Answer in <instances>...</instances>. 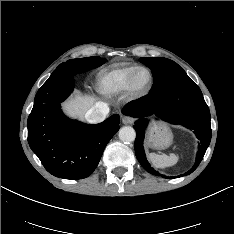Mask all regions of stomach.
Listing matches in <instances>:
<instances>
[{
    "label": "stomach",
    "mask_w": 234,
    "mask_h": 234,
    "mask_svg": "<svg viewBox=\"0 0 234 234\" xmlns=\"http://www.w3.org/2000/svg\"><path fill=\"white\" fill-rule=\"evenodd\" d=\"M173 134L165 124L153 125L147 135V144L155 149H165L172 144Z\"/></svg>",
    "instance_id": "0dacf381"
}]
</instances>
